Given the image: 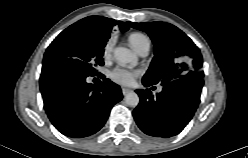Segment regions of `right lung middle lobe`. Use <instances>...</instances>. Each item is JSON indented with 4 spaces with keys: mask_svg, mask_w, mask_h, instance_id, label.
<instances>
[{
    "mask_svg": "<svg viewBox=\"0 0 248 158\" xmlns=\"http://www.w3.org/2000/svg\"><path fill=\"white\" fill-rule=\"evenodd\" d=\"M106 43L90 38L75 24L62 31L47 48L41 75L70 74L86 78L103 65Z\"/></svg>",
    "mask_w": 248,
    "mask_h": 158,
    "instance_id": "obj_1",
    "label": "right lung middle lobe"
}]
</instances>
